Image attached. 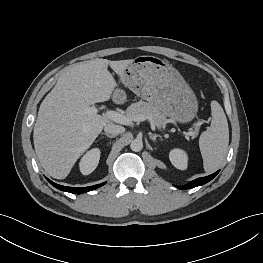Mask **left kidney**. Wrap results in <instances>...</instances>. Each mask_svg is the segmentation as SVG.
Instances as JSON below:
<instances>
[{"label":"left kidney","instance_id":"obj_1","mask_svg":"<svg viewBox=\"0 0 263 263\" xmlns=\"http://www.w3.org/2000/svg\"><path fill=\"white\" fill-rule=\"evenodd\" d=\"M169 159L177 169L185 170L188 165V156L182 149H173L169 153Z\"/></svg>","mask_w":263,"mask_h":263}]
</instances>
